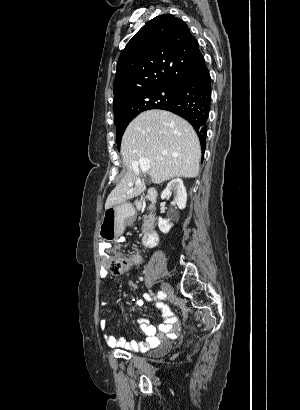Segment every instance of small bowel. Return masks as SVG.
I'll use <instances>...</instances> for the list:
<instances>
[{
  "label": "small bowel",
  "mask_w": 300,
  "mask_h": 410,
  "mask_svg": "<svg viewBox=\"0 0 300 410\" xmlns=\"http://www.w3.org/2000/svg\"><path fill=\"white\" fill-rule=\"evenodd\" d=\"M108 274L106 272L101 273V278L106 279ZM145 299L150 300L148 296ZM136 301V298H132ZM103 307H112L108 302H102ZM155 308L160 310L163 315V324L157 329L151 324L150 320L144 318L139 321V326L143 334L146 336L145 341H137L129 337H115L110 334H104L103 338L105 343L112 348H123L130 351H146L150 348L156 347L162 340L169 336L177 335L180 330V324L170 307L164 303H155ZM108 327V321L106 319L99 320V328L105 331Z\"/></svg>",
  "instance_id": "small-bowel-1"
}]
</instances>
